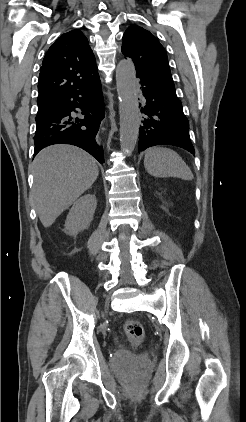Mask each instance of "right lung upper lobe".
I'll list each match as a JSON object with an SVG mask.
<instances>
[{
	"label": "right lung upper lobe",
	"mask_w": 246,
	"mask_h": 422,
	"mask_svg": "<svg viewBox=\"0 0 246 422\" xmlns=\"http://www.w3.org/2000/svg\"><path fill=\"white\" fill-rule=\"evenodd\" d=\"M96 60L80 30L62 34L49 48L40 68L38 110L74 92L98 76Z\"/></svg>",
	"instance_id": "1"
}]
</instances>
